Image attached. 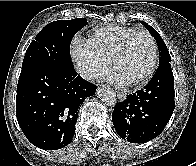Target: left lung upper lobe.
Returning a JSON list of instances; mask_svg holds the SVG:
<instances>
[{
  "instance_id": "left-lung-upper-lobe-1",
  "label": "left lung upper lobe",
  "mask_w": 196,
  "mask_h": 166,
  "mask_svg": "<svg viewBox=\"0 0 196 166\" xmlns=\"http://www.w3.org/2000/svg\"><path fill=\"white\" fill-rule=\"evenodd\" d=\"M141 22L145 25L147 30L151 33V35L156 39V41L158 43L159 55H160L159 65L170 63L171 57H170L169 51H168L163 39L161 38V36L158 34V32L153 27L148 25L146 22H144V21H141Z\"/></svg>"
}]
</instances>
